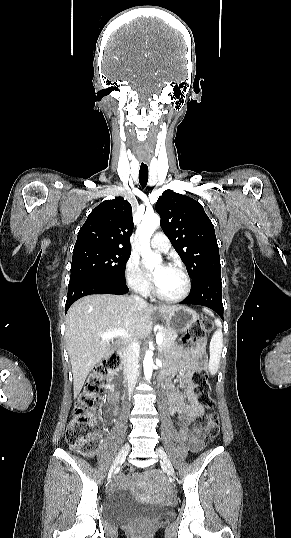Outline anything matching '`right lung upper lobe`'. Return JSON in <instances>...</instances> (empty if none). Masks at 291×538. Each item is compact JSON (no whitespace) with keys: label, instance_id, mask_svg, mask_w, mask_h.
Returning a JSON list of instances; mask_svg holds the SVG:
<instances>
[{"label":"right lung upper lobe","instance_id":"1","mask_svg":"<svg viewBox=\"0 0 291 538\" xmlns=\"http://www.w3.org/2000/svg\"><path fill=\"white\" fill-rule=\"evenodd\" d=\"M132 231L131 204L122 197L106 200L89 214L80 228L74 250L94 246L131 249Z\"/></svg>","mask_w":291,"mask_h":538}]
</instances>
